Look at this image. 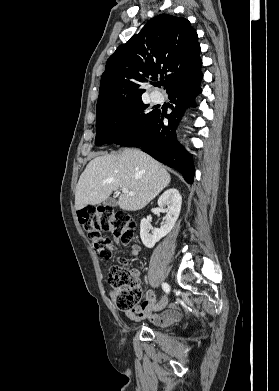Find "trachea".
<instances>
[{
  "mask_svg": "<svg viewBox=\"0 0 279 391\" xmlns=\"http://www.w3.org/2000/svg\"><path fill=\"white\" fill-rule=\"evenodd\" d=\"M163 85H164L163 82H161V83L158 84L159 87H161V86H163Z\"/></svg>",
  "mask_w": 279,
  "mask_h": 391,
  "instance_id": "3493384b",
  "label": "trachea"
}]
</instances>
